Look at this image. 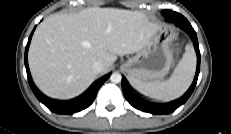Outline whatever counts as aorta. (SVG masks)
I'll return each instance as SVG.
<instances>
[{
	"label": "aorta",
	"mask_w": 231,
	"mask_h": 134,
	"mask_svg": "<svg viewBox=\"0 0 231 134\" xmlns=\"http://www.w3.org/2000/svg\"><path fill=\"white\" fill-rule=\"evenodd\" d=\"M121 79H122V76L120 73H113L111 76H110V80L111 82L113 83H120L121 82Z\"/></svg>",
	"instance_id": "aorta-1"
}]
</instances>
